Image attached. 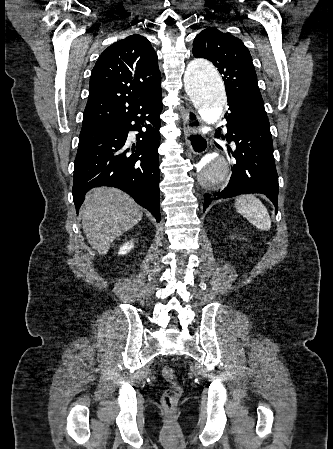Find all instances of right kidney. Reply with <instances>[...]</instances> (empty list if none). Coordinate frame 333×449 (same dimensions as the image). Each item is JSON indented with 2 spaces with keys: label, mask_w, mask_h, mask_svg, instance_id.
<instances>
[{
  "label": "right kidney",
  "mask_w": 333,
  "mask_h": 449,
  "mask_svg": "<svg viewBox=\"0 0 333 449\" xmlns=\"http://www.w3.org/2000/svg\"><path fill=\"white\" fill-rule=\"evenodd\" d=\"M133 247V242H126L123 246L120 247L118 254L124 255L131 250Z\"/></svg>",
  "instance_id": "obj_1"
}]
</instances>
